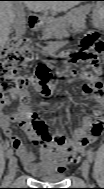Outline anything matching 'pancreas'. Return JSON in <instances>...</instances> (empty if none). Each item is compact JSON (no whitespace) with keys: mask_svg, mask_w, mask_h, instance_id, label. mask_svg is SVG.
<instances>
[{"mask_svg":"<svg viewBox=\"0 0 104 189\" xmlns=\"http://www.w3.org/2000/svg\"><path fill=\"white\" fill-rule=\"evenodd\" d=\"M89 6L72 9L66 15L59 19L50 18L45 26L46 35L43 38L52 37L62 38L66 36V29L72 24L73 26H83Z\"/></svg>","mask_w":104,"mask_h":189,"instance_id":"obj_1","label":"pancreas"}]
</instances>
